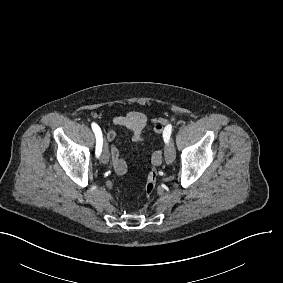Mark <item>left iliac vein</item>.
I'll return each instance as SVG.
<instances>
[{"instance_id":"left-iliac-vein-1","label":"left iliac vein","mask_w":283,"mask_h":283,"mask_svg":"<svg viewBox=\"0 0 283 283\" xmlns=\"http://www.w3.org/2000/svg\"><path fill=\"white\" fill-rule=\"evenodd\" d=\"M165 161L167 164H172L176 159V152L173 143L166 144L164 147Z\"/></svg>"}]
</instances>
